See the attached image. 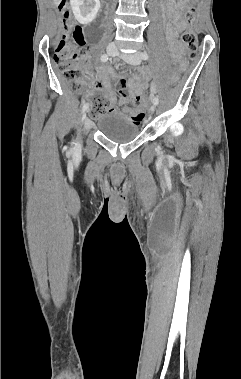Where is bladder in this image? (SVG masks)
<instances>
[{
  "label": "bladder",
  "instance_id": "obj_1",
  "mask_svg": "<svg viewBox=\"0 0 241 379\" xmlns=\"http://www.w3.org/2000/svg\"><path fill=\"white\" fill-rule=\"evenodd\" d=\"M97 125L104 137L116 143L131 142L139 135V124L118 112L102 114Z\"/></svg>",
  "mask_w": 241,
  "mask_h": 379
}]
</instances>
